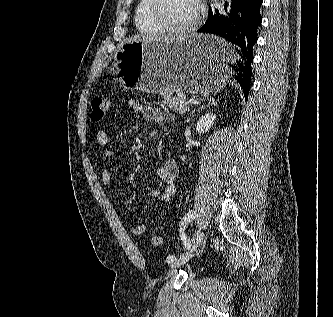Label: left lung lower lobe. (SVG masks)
I'll list each match as a JSON object with an SVG mask.
<instances>
[{"label":"left lung lower lobe","mask_w":333,"mask_h":317,"mask_svg":"<svg viewBox=\"0 0 333 317\" xmlns=\"http://www.w3.org/2000/svg\"><path fill=\"white\" fill-rule=\"evenodd\" d=\"M262 0H232L224 9H209L208 19L198 30L214 34L236 44L240 49L222 50L220 53L232 69V77L240 84L248 98L252 75L253 46L257 42V29L262 22ZM234 52V54L232 53Z\"/></svg>","instance_id":"obj_1"}]
</instances>
